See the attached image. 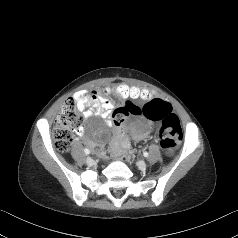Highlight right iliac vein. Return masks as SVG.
Listing matches in <instances>:
<instances>
[{"instance_id":"63e3f726","label":"right iliac vein","mask_w":238,"mask_h":238,"mask_svg":"<svg viewBox=\"0 0 238 238\" xmlns=\"http://www.w3.org/2000/svg\"><path fill=\"white\" fill-rule=\"evenodd\" d=\"M86 163L88 165H91L93 163V160L90 157H88V158H86Z\"/></svg>"}]
</instances>
